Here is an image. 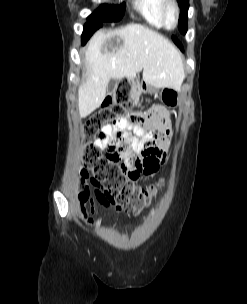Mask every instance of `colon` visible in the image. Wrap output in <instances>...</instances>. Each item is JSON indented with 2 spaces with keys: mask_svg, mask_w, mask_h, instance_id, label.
<instances>
[{
  "mask_svg": "<svg viewBox=\"0 0 247 304\" xmlns=\"http://www.w3.org/2000/svg\"><path fill=\"white\" fill-rule=\"evenodd\" d=\"M131 105L130 87L127 83L121 82L115 92L106 98L102 107L86 119L83 132V155L85 162L98 179L96 181L97 186L101 185L104 189V195L121 207L138 213L148 207L159 191L165 188L167 179H161L156 185L148 188L136 186L134 181L124 173L120 165L105 162V154L102 153V148L97 142L105 126L112 125L118 119L124 117L129 112ZM145 160L149 166L156 164L155 159ZM100 194L101 192L95 190L96 197ZM90 196L87 183L84 179H81L79 181V198L82 205L87 203Z\"/></svg>",
  "mask_w": 247,
  "mask_h": 304,
  "instance_id": "colon-1",
  "label": "colon"
}]
</instances>
